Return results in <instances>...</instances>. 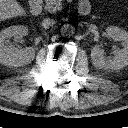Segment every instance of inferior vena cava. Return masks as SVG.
<instances>
[{"mask_svg": "<svg viewBox=\"0 0 128 128\" xmlns=\"http://www.w3.org/2000/svg\"><path fill=\"white\" fill-rule=\"evenodd\" d=\"M55 23V21L53 19L50 18H45L42 22V26L44 28H49L50 26H52Z\"/></svg>", "mask_w": 128, "mask_h": 128, "instance_id": "1", "label": "inferior vena cava"}]
</instances>
